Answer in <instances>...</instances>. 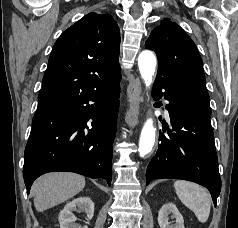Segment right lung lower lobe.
<instances>
[{
  "instance_id": "obj_1",
  "label": "right lung lower lobe",
  "mask_w": 238,
  "mask_h": 228,
  "mask_svg": "<svg viewBox=\"0 0 238 228\" xmlns=\"http://www.w3.org/2000/svg\"><path fill=\"white\" fill-rule=\"evenodd\" d=\"M120 80L100 90L38 107L25 148L24 181L53 171L112 179V144L116 134ZM94 120L92 128L88 120Z\"/></svg>"
}]
</instances>
